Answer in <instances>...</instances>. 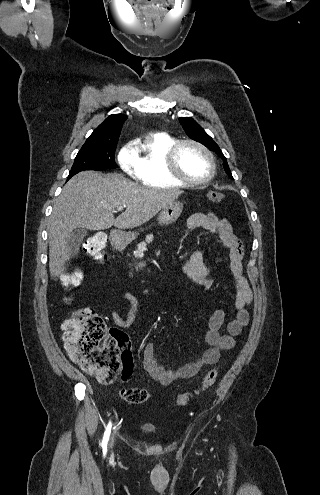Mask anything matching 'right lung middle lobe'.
Listing matches in <instances>:
<instances>
[{
  "instance_id": "dd1d6c3e",
  "label": "right lung middle lobe",
  "mask_w": 320,
  "mask_h": 495,
  "mask_svg": "<svg viewBox=\"0 0 320 495\" xmlns=\"http://www.w3.org/2000/svg\"><path fill=\"white\" fill-rule=\"evenodd\" d=\"M117 144L83 146L78 152L68 179L84 170L116 168L115 150Z\"/></svg>"
}]
</instances>
